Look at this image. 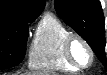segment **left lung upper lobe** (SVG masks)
Returning a JSON list of instances; mask_svg holds the SVG:
<instances>
[{"label":"left lung upper lobe","mask_w":107,"mask_h":75,"mask_svg":"<svg viewBox=\"0 0 107 75\" xmlns=\"http://www.w3.org/2000/svg\"><path fill=\"white\" fill-rule=\"evenodd\" d=\"M57 14L91 46L107 67L105 19L99 0H55Z\"/></svg>","instance_id":"1"}]
</instances>
